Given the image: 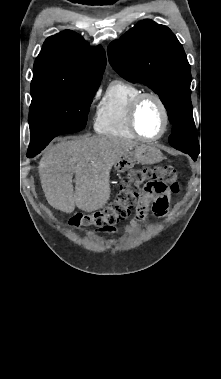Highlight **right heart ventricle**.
I'll list each match as a JSON object with an SVG mask.
<instances>
[{
	"instance_id": "right-heart-ventricle-1",
	"label": "right heart ventricle",
	"mask_w": 221,
	"mask_h": 379,
	"mask_svg": "<svg viewBox=\"0 0 221 379\" xmlns=\"http://www.w3.org/2000/svg\"><path fill=\"white\" fill-rule=\"evenodd\" d=\"M141 93L133 83L115 80L108 86L94 119L97 133L126 139L136 138L128 122V109L132 100Z\"/></svg>"
}]
</instances>
